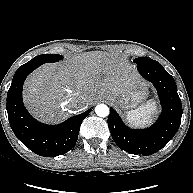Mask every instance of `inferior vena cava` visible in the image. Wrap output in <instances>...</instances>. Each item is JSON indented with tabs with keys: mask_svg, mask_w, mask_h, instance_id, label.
Returning a JSON list of instances; mask_svg holds the SVG:
<instances>
[{
	"mask_svg": "<svg viewBox=\"0 0 193 193\" xmlns=\"http://www.w3.org/2000/svg\"><path fill=\"white\" fill-rule=\"evenodd\" d=\"M72 109H82L85 106V101L81 98H71L68 102Z\"/></svg>",
	"mask_w": 193,
	"mask_h": 193,
	"instance_id": "obj_1",
	"label": "inferior vena cava"
}]
</instances>
